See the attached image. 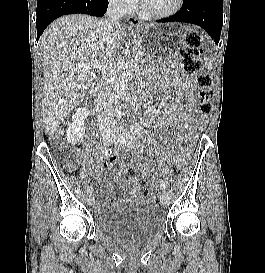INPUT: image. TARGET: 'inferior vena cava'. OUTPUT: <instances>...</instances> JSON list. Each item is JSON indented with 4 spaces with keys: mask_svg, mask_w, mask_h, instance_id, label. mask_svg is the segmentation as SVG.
Returning <instances> with one entry per match:
<instances>
[{
    "mask_svg": "<svg viewBox=\"0 0 265 273\" xmlns=\"http://www.w3.org/2000/svg\"><path fill=\"white\" fill-rule=\"evenodd\" d=\"M126 8V0H110L106 13L107 18L100 20L98 23L105 42L110 43L114 38L117 29L120 27L119 20L125 15ZM116 77V66L112 62L106 64L102 70V79L97 98L98 124L101 135L112 134L116 131L112 107V88Z\"/></svg>",
    "mask_w": 265,
    "mask_h": 273,
    "instance_id": "1",
    "label": "inferior vena cava"
}]
</instances>
